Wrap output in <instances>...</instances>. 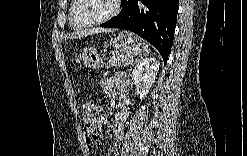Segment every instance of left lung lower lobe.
<instances>
[{"label": "left lung lower lobe", "mask_w": 247, "mask_h": 156, "mask_svg": "<svg viewBox=\"0 0 247 156\" xmlns=\"http://www.w3.org/2000/svg\"><path fill=\"white\" fill-rule=\"evenodd\" d=\"M179 0H122V10L106 28L132 31L150 42L164 63L170 53L176 27Z\"/></svg>", "instance_id": "obj_1"}]
</instances>
